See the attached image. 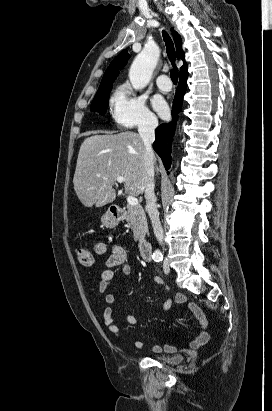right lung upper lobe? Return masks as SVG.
<instances>
[{
	"label": "right lung upper lobe",
	"instance_id": "right-lung-upper-lobe-1",
	"mask_svg": "<svg viewBox=\"0 0 272 411\" xmlns=\"http://www.w3.org/2000/svg\"><path fill=\"white\" fill-rule=\"evenodd\" d=\"M172 36H173V39L176 45L177 58L182 59L184 62L183 66L180 68V75L184 73H188L187 64L185 62L184 52L182 49V40L179 34L173 29H172ZM129 58H130V55L128 54L127 50H123L121 53L118 54V56H116L113 59V61L110 63L109 67L107 68L102 78V82L100 84L99 89H102L113 83V81L117 78L119 74V70H121L127 64V61Z\"/></svg>",
	"mask_w": 272,
	"mask_h": 411
}]
</instances>
